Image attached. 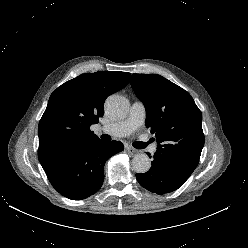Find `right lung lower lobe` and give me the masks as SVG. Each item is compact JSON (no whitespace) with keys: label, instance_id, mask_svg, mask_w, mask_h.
I'll list each match as a JSON object with an SVG mask.
<instances>
[{"label":"right lung lower lobe","instance_id":"obj_1","mask_svg":"<svg viewBox=\"0 0 248 248\" xmlns=\"http://www.w3.org/2000/svg\"><path fill=\"white\" fill-rule=\"evenodd\" d=\"M123 149L120 141L82 140L66 148L43 169L60 194L82 200L100 189L106 161Z\"/></svg>","mask_w":248,"mask_h":248}]
</instances>
